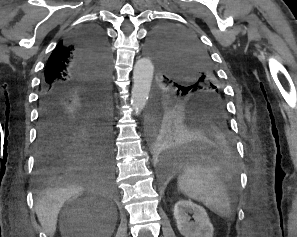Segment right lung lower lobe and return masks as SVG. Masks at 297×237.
<instances>
[{
    "label": "right lung lower lobe",
    "mask_w": 297,
    "mask_h": 237,
    "mask_svg": "<svg viewBox=\"0 0 297 237\" xmlns=\"http://www.w3.org/2000/svg\"><path fill=\"white\" fill-rule=\"evenodd\" d=\"M74 69L86 88L42 90L39 102L36 173L51 178L71 173L110 175L113 148L108 114L110 49L102 30L88 26L71 38Z\"/></svg>",
    "instance_id": "obj_1"
}]
</instances>
